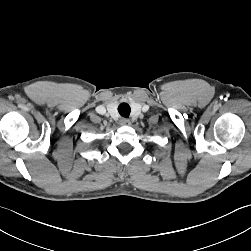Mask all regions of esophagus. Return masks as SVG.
Here are the masks:
<instances>
[{
	"label": "esophagus",
	"instance_id": "1",
	"mask_svg": "<svg viewBox=\"0 0 251 251\" xmlns=\"http://www.w3.org/2000/svg\"><path fill=\"white\" fill-rule=\"evenodd\" d=\"M120 124H121V125H130L131 122H130L129 119L122 118V119L120 120Z\"/></svg>",
	"mask_w": 251,
	"mask_h": 251
}]
</instances>
